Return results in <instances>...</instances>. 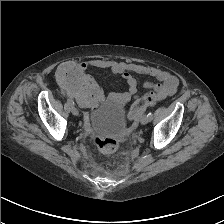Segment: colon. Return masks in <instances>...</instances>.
I'll list each match as a JSON object with an SVG mask.
<instances>
[{
  "label": "colon",
  "instance_id": "1",
  "mask_svg": "<svg viewBox=\"0 0 224 224\" xmlns=\"http://www.w3.org/2000/svg\"><path fill=\"white\" fill-rule=\"evenodd\" d=\"M57 80L63 86L68 96L77 101L81 106H93L100 97L97 88L91 86V78L76 63L68 62L60 66L56 73ZM152 94L137 100L131 108L130 120H133L152 101ZM94 144L97 149L106 155L115 153L119 148L116 139L95 136Z\"/></svg>",
  "mask_w": 224,
  "mask_h": 224
}]
</instances>
